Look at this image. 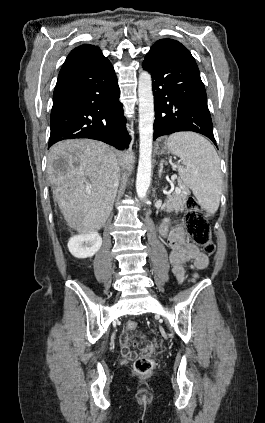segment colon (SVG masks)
<instances>
[{"instance_id":"obj_1","label":"colon","mask_w":265,"mask_h":423,"mask_svg":"<svg viewBox=\"0 0 265 423\" xmlns=\"http://www.w3.org/2000/svg\"><path fill=\"white\" fill-rule=\"evenodd\" d=\"M186 208L185 224L188 234L193 242L201 246L207 254H213L215 245L211 240V229L204 211L194 197H188L186 199ZM136 327L137 324L135 321H128L126 323L127 331H134ZM137 337L144 342L147 340V335L143 332H137ZM145 348L149 350L151 346L147 344ZM153 369L154 362L148 357H138L134 362V370L138 374H149Z\"/></svg>"}]
</instances>
